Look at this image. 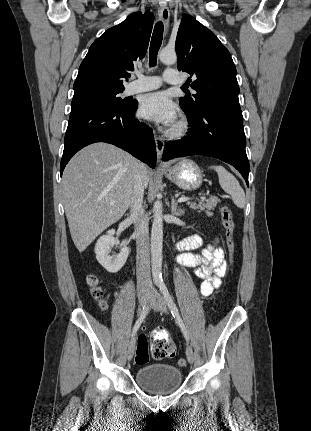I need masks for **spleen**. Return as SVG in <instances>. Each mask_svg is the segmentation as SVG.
<instances>
[{
  "label": "spleen",
  "instance_id": "1",
  "mask_svg": "<svg viewBox=\"0 0 311 431\" xmlns=\"http://www.w3.org/2000/svg\"><path fill=\"white\" fill-rule=\"evenodd\" d=\"M210 170L217 172L222 190L230 194L235 206L237 208H244L246 204L244 190L239 186V182L234 178L233 174L227 172L223 166H211Z\"/></svg>",
  "mask_w": 311,
  "mask_h": 431
}]
</instances>
